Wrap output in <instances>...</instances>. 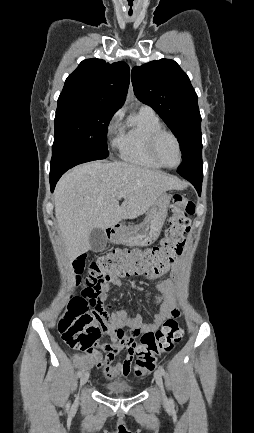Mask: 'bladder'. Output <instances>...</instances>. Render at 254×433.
Returning a JSON list of instances; mask_svg holds the SVG:
<instances>
[{"label":"bladder","instance_id":"obj_1","mask_svg":"<svg viewBox=\"0 0 254 433\" xmlns=\"http://www.w3.org/2000/svg\"><path fill=\"white\" fill-rule=\"evenodd\" d=\"M102 388L107 394L115 396L134 394V389L130 385L121 382L106 383Z\"/></svg>","mask_w":254,"mask_h":433}]
</instances>
